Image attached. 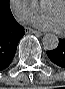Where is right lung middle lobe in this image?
<instances>
[{
  "label": "right lung middle lobe",
  "mask_w": 65,
  "mask_h": 89,
  "mask_svg": "<svg viewBox=\"0 0 65 89\" xmlns=\"http://www.w3.org/2000/svg\"><path fill=\"white\" fill-rule=\"evenodd\" d=\"M0 9L10 13L9 0H0Z\"/></svg>",
  "instance_id": "obj_1"
}]
</instances>
